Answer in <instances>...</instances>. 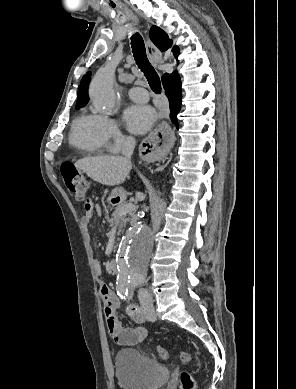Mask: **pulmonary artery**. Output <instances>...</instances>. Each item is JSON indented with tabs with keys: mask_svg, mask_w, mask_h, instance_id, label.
I'll list each match as a JSON object with an SVG mask.
<instances>
[{
	"mask_svg": "<svg viewBox=\"0 0 296 389\" xmlns=\"http://www.w3.org/2000/svg\"><path fill=\"white\" fill-rule=\"evenodd\" d=\"M128 95L132 100L141 103H145L149 99L148 92L142 87H133L129 89Z\"/></svg>",
	"mask_w": 296,
	"mask_h": 389,
	"instance_id": "1",
	"label": "pulmonary artery"
}]
</instances>
